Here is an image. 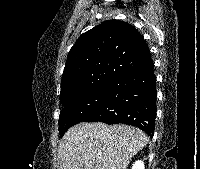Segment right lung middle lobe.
<instances>
[{
  "instance_id": "dd1d6c3e",
  "label": "right lung middle lobe",
  "mask_w": 200,
  "mask_h": 169,
  "mask_svg": "<svg viewBox=\"0 0 200 169\" xmlns=\"http://www.w3.org/2000/svg\"><path fill=\"white\" fill-rule=\"evenodd\" d=\"M116 81L115 79L97 81L76 94L60 100L64 105L59 117L60 137L71 126L82 122L93 113L108 96Z\"/></svg>"
}]
</instances>
